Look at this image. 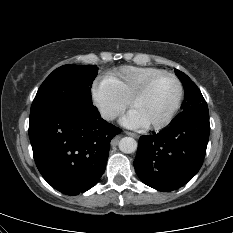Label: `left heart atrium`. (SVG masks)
Masks as SVG:
<instances>
[{
    "label": "left heart atrium",
    "instance_id": "39dd6f15",
    "mask_svg": "<svg viewBox=\"0 0 233 233\" xmlns=\"http://www.w3.org/2000/svg\"><path fill=\"white\" fill-rule=\"evenodd\" d=\"M121 123L126 127L134 129L148 126V123L138 113L132 110L122 119Z\"/></svg>",
    "mask_w": 233,
    "mask_h": 233
}]
</instances>
